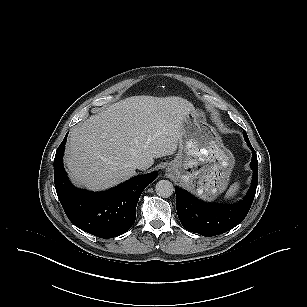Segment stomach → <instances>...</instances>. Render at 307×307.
Here are the masks:
<instances>
[{
  "label": "stomach",
  "instance_id": "1",
  "mask_svg": "<svg viewBox=\"0 0 307 307\" xmlns=\"http://www.w3.org/2000/svg\"><path fill=\"white\" fill-rule=\"evenodd\" d=\"M178 145L167 171L201 198L215 199L227 188L235 159L203 111L194 109L185 115Z\"/></svg>",
  "mask_w": 307,
  "mask_h": 307
}]
</instances>
